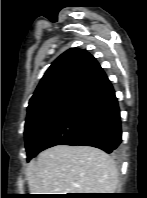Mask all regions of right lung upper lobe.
<instances>
[{
  "label": "right lung upper lobe",
  "mask_w": 147,
  "mask_h": 198,
  "mask_svg": "<svg viewBox=\"0 0 147 198\" xmlns=\"http://www.w3.org/2000/svg\"><path fill=\"white\" fill-rule=\"evenodd\" d=\"M106 77L91 54L71 48L60 55L45 72L29 101L28 113L52 103H76Z\"/></svg>",
  "instance_id": "cb5924a9"
}]
</instances>
